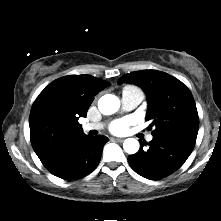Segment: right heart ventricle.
Returning a JSON list of instances; mask_svg holds the SVG:
<instances>
[{
	"label": "right heart ventricle",
	"mask_w": 221,
	"mask_h": 221,
	"mask_svg": "<svg viewBox=\"0 0 221 221\" xmlns=\"http://www.w3.org/2000/svg\"><path fill=\"white\" fill-rule=\"evenodd\" d=\"M132 88H134V87L128 86V87H125L124 89H132Z\"/></svg>",
	"instance_id": "e07e8e85"
}]
</instances>
